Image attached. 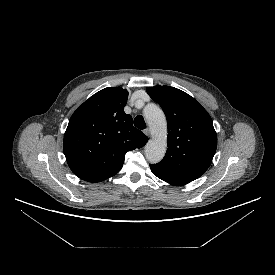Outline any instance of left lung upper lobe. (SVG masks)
<instances>
[{
    "instance_id": "left-lung-upper-lobe-1",
    "label": "left lung upper lobe",
    "mask_w": 275,
    "mask_h": 275,
    "mask_svg": "<svg viewBox=\"0 0 275 275\" xmlns=\"http://www.w3.org/2000/svg\"><path fill=\"white\" fill-rule=\"evenodd\" d=\"M164 111L168 125L167 151L156 166L195 180L209 168L217 135L208 112L187 93L169 86L147 88Z\"/></svg>"
}]
</instances>
